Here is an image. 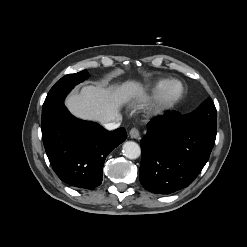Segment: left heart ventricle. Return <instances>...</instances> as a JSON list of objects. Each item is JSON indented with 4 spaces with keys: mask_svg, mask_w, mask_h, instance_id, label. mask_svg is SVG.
Instances as JSON below:
<instances>
[{
    "mask_svg": "<svg viewBox=\"0 0 247 247\" xmlns=\"http://www.w3.org/2000/svg\"><path fill=\"white\" fill-rule=\"evenodd\" d=\"M177 87L176 86H173L172 88V92L176 91Z\"/></svg>",
    "mask_w": 247,
    "mask_h": 247,
    "instance_id": "obj_1",
    "label": "left heart ventricle"
}]
</instances>
